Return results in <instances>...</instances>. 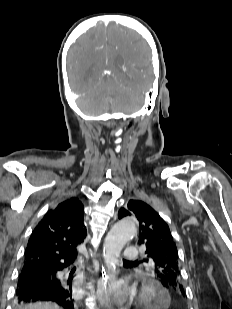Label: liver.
<instances>
[{"mask_svg":"<svg viewBox=\"0 0 232 309\" xmlns=\"http://www.w3.org/2000/svg\"><path fill=\"white\" fill-rule=\"evenodd\" d=\"M21 309H62V308H60L57 304H54V303L38 302V303H35V304H29V305L23 306V308H21Z\"/></svg>","mask_w":232,"mask_h":309,"instance_id":"obj_1","label":"liver"}]
</instances>
